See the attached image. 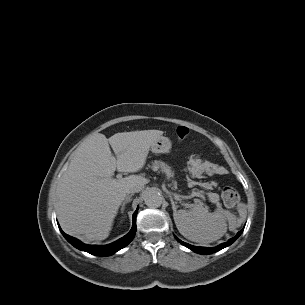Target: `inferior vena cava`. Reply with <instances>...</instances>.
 <instances>
[{
    "label": "inferior vena cava",
    "mask_w": 305,
    "mask_h": 305,
    "mask_svg": "<svg viewBox=\"0 0 305 305\" xmlns=\"http://www.w3.org/2000/svg\"><path fill=\"white\" fill-rule=\"evenodd\" d=\"M144 186L142 185H134V186H131L127 189V193H138L140 192L142 189H143Z\"/></svg>",
    "instance_id": "1"
}]
</instances>
